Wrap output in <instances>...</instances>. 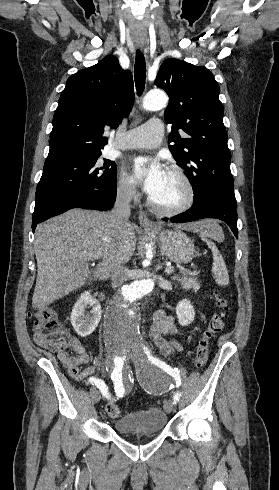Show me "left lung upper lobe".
Instances as JSON below:
<instances>
[{"label": "left lung upper lobe", "instance_id": "1", "mask_svg": "<svg viewBox=\"0 0 279 490\" xmlns=\"http://www.w3.org/2000/svg\"><path fill=\"white\" fill-rule=\"evenodd\" d=\"M155 85L169 95L164 113L172 124L169 142L174 144L169 149L187 173L194 200L208 189L234 194L224 109L213 74L205 67L170 58L160 66ZM178 129L185 134L180 135Z\"/></svg>", "mask_w": 279, "mask_h": 490}]
</instances>
